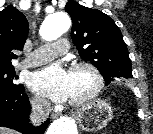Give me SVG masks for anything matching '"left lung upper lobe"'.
Segmentation results:
<instances>
[{
	"label": "left lung upper lobe",
	"mask_w": 153,
	"mask_h": 134,
	"mask_svg": "<svg viewBox=\"0 0 153 134\" xmlns=\"http://www.w3.org/2000/svg\"><path fill=\"white\" fill-rule=\"evenodd\" d=\"M65 10L73 21L71 37L79 55L101 72L106 85L133 78L128 49L112 18L75 1H69Z\"/></svg>",
	"instance_id": "5c2ea615"
}]
</instances>
